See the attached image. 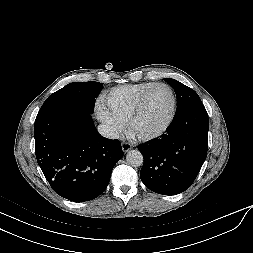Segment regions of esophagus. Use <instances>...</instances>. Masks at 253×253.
I'll return each instance as SVG.
<instances>
[{
    "mask_svg": "<svg viewBox=\"0 0 253 253\" xmlns=\"http://www.w3.org/2000/svg\"><path fill=\"white\" fill-rule=\"evenodd\" d=\"M132 148L130 143L123 142L122 143V150L123 152H128Z\"/></svg>",
    "mask_w": 253,
    "mask_h": 253,
    "instance_id": "esophagus-1",
    "label": "esophagus"
}]
</instances>
